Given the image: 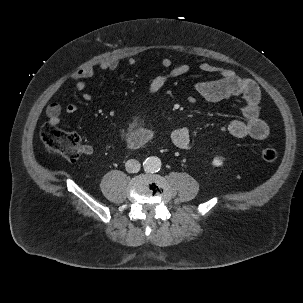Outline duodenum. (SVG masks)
<instances>
[{"mask_svg":"<svg viewBox=\"0 0 303 303\" xmlns=\"http://www.w3.org/2000/svg\"><path fill=\"white\" fill-rule=\"evenodd\" d=\"M145 141L146 139L141 132H134L128 137V143L132 146H138Z\"/></svg>","mask_w":303,"mask_h":303,"instance_id":"duodenum-1","label":"duodenum"}]
</instances>
